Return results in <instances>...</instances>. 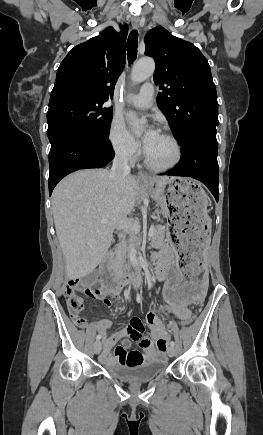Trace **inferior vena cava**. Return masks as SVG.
Listing matches in <instances>:
<instances>
[{
    "instance_id": "1",
    "label": "inferior vena cava",
    "mask_w": 263,
    "mask_h": 435,
    "mask_svg": "<svg viewBox=\"0 0 263 435\" xmlns=\"http://www.w3.org/2000/svg\"><path fill=\"white\" fill-rule=\"evenodd\" d=\"M130 174L127 156H116L110 171V178L115 180L119 189H122L125 178Z\"/></svg>"
}]
</instances>
